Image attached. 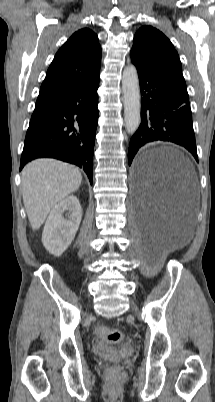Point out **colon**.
Here are the masks:
<instances>
[{
	"label": "colon",
	"instance_id": "obj_1",
	"mask_svg": "<svg viewBox=\"0 0 215 402\" xmlns=\"http://www.w3.org/2000/svg\"><path fill=\"white\" fill-rule=\"evenodd\" d=\"M96 335L110 344H117L122 340V332L118 329H110L105 326H98L95 330ZM117 369H112L110 375H116Z\"/></svg>",
	"mask_w": 215,
	"mask_h": 402
}]
</instances>
